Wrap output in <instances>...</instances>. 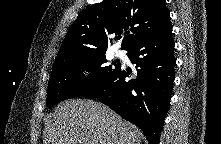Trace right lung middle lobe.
Returning a JSON list of instances; mask_svg holds the SVG:
<instances>
[{
	"mask_svg": "<svg viewBox=\"0 0 221 144\" xmlns=\"http://www.w3.org/2000/svg\"><path fill=\"white\" fill-rule=\"evenodd\" d=\"M105 62V53H100L53 67L48 83L47 107L51 108L71 97L84 96L108 81L121 64L113 63L115 67H112L105 66ZM83 71L91 72L88 77H84Z\"/></svg>",
	"mask_w": 221,
	"mask_h": 144,
	"instance_id": "1",
	"label": "right lung middle lobe"
}]
</instances>
